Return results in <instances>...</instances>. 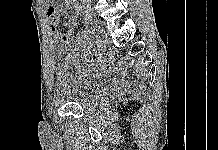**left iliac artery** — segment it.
I'll list each match as a JSON object with an SVG mask.
<instances>
[{
	"label": "left iliac artery",
	"instance_id": "1",
	"mask_svg": "<svg viewBox=\"0 0 218 150\" xmlns=\"http://www.w3.org/2000/svg\"><path fill=\"white\" fill-rule=\"evenodd\" d=\"M88 22H89L88 26L90 27V32L95 33L96 29H95V27H92L93 26V23H92L93 21L90 19Z\"/></svg>",
	"mask_w": 218,
	"mask_h": 150
}]
</instances>
